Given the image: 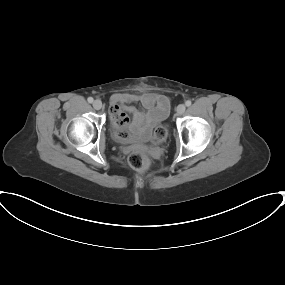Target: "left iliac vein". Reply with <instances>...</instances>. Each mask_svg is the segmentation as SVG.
Listing matches in <instances>:
<instances>
[{
  "mask_svg": "<svg viewBox=\"0 0 285 285\" xmlns=\"http://www.w3.org/2000/svg\"><path fill=\"white\" fill-rule=\"evenodd\" d=\"M186 110V107L184 104H180L177 106L176 111L179 115L183 114Z\"/></svg>",
  "mask_w": 285,
  "mask_h": 285,
  "instance_id": "obj_1",
  "label": "left iliac vein"
}]
</instances>
